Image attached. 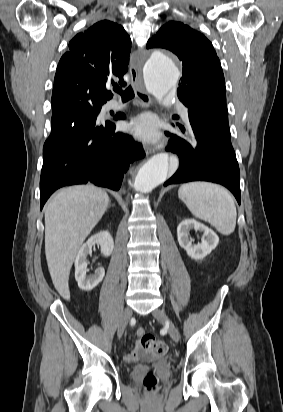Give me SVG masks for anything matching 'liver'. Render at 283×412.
Listing matches in <instances>:
<instances>
[{
	"label": "liver",
	"instance_id": "1",
	"mask_svg": "<svg viewBox=\"0 0 283 412\" xmlns=\"http://www.w3.org/2000/svg\"><path fill=\"white\" fill-rule=\"evenodd\" d=\"M106 191L77 185L61 189L45 206V255L54 287L70 299L69 274L77 252L104 215Z\"/></svg>",
	"mask_w": 283,
	"mask_h": 412
}]
</instances>
